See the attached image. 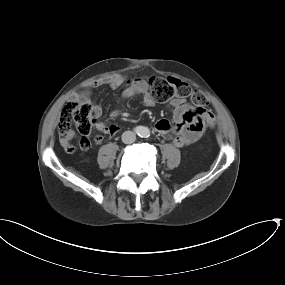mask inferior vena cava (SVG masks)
I'll list each match as a JSON object with an SVG mask.
<instances>
[{
	"label": "inferior vena cava",
	"mask_w": 285,
	"mask_h": 285,
	"mask_svg": "<svg viewBox=\"0 0 285 285\" xmlns=\"http://www.w3.org/2000/svg\"><path fill=\"white\" fill-rule=\"evenodd\" d=\"M136 140V134L132 131H125L122 134V141L125 144H131Z\"/></svg>",
	"instance_id": "inferior-vena-cava-1"
}]
</instances>
